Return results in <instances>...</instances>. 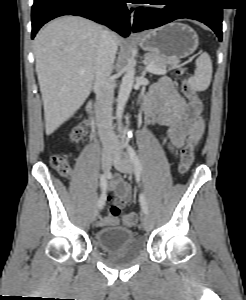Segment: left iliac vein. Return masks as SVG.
<instances>
[{
  "label": "left iliac vein",
  "instance_id": "left-iliac-vein-1",
  "mask_svg": "<svg viewBox=\"0 0 246 300\" xmlns=\"http://www.w3.org/2000/svg\"><path fill=\"white\" fill-rule=\"evenodd\" d=\"M113 164L122 173L132 174L134 172L133 163L124 152L115 153ZM141 224L145 231H150L153 228V221L147 213L142 214Z\"/></svg>",
  "mask_w": 246,
  "mask_h": 300
}]
</instances>
